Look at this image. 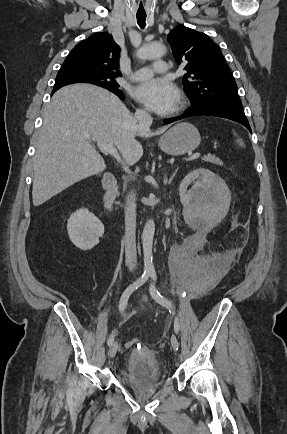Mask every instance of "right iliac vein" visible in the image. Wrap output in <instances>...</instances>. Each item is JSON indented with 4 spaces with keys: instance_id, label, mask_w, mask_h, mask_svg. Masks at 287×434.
I'll list each match as a JSON object with an SVG mask.
<instances>
[{
    "instance_id": "right-iliac-vein-1",
    "label": "right iliac vein",
    "mask_w": 287,
    "mask_h": 434,
    "mask_svg": "<svg viewBox=\"0 0 287 434\" xmlns=\"http://www.w3.org/2000/svg\"><path fill=\"white\" fill-rule=\"evenodd\" d=\"M117 349H118V344L115 342L110 346L108 350V357L113 358L116 355Z\"/></svg>"
}]
</instances>
